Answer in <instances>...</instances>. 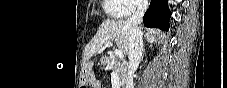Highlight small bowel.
<instances>
[{
    "label": "small bowel",
    "instance_id": "obj_1",
    "mask_svg": "<svg viewBox=\"0 0 227 88\" xmlns=\"http://www.w3.org/2000/svg\"><path fill=\"white\" fill-rule=\"evenodd\" d=\"M94 87H96V88H102L103 86L101 84H99V83H96Z\"/></svg>",
    "mask_w": 227,
    "mask_h": 88
}]
</instances>
